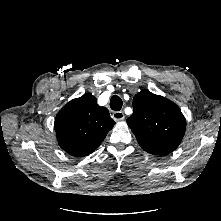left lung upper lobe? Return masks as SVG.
<instances>
[{
	"mask_svg": "<svg viewBox=\"0 0 221 221\" xmlns=\"http://www.w3.org/2000/svg\"><path fill=\"white\" fill-rule=\"evenodd\" d=\"M127 124L142 149L155 155L174 151L186 128L185 117L176 104L146 89L135 95L133 115Z\"/></svg>",
	"mask_w": 221,
	"mask_h": 221,
	"instance_id": "5c2ea615",
	"label": "left lung upper lobe"
}]
</instances>
